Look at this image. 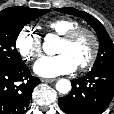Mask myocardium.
Instances as JSON below:
<instances>
[{"label":"myocardium","instance_id":"1","mask_svg":"<svg viewBox=\"0 0 114 114\" xmlns=\"http://www.w3.org/2000/svg\"><path fill=\"white\" fill-rule=\"evenodd\" d=\"M87 35L91 42H92V50L88 58L78 65V68L81 70H86L90 68L97 59L99 49H100V42L96 35V33L91 30L90 28L84 26H78L73 28L72 30L68 31L64 35H62V40L67 43H73L76 41L80 36Z\"/></svg>","mask_w":114,"mask_h":114}]
</instances>
